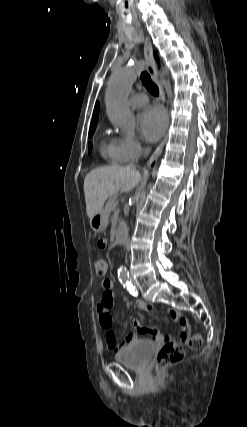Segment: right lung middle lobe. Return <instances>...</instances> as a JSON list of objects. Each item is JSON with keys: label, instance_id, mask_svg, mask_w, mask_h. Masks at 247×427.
<instances>
[{"label": "right lung middle lobe", "instance_id": "obj_1", "mask_svg": "<svg viewBox=\"0 0 247 427\" xmlns=\"http://www.w3.org/2000/svg\"><path fill=\"white\" fill-rule=\"evenodd\" d=\"M95 128H96V126H91L90 127V130H89V137H91L92 136V134L94 133V131H95ZM91 150H92V144H88V152L90 153L91 152Z\"/></svg>", "mask_w": 247, "mask_h": 427}]
</instances>
